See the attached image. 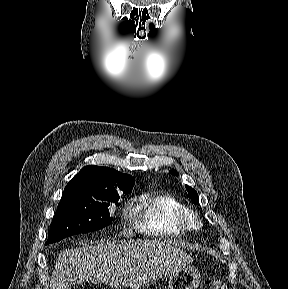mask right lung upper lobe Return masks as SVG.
Returning a JSON list of instances; mask_svg holds the SVG:
<instances>
[{"label":"right lung upper lobe","mask_w":288,"mask_h":289,"mask_svg":"<svg viewBox=\"0 0 288 289\" xmlns=\"http://www.w3.org/2000/svg\"><path fill=\"white\" fill-rule=\"evenodd\" d=\"M134 179L108 167L89 165L81 169L66 185L65 194L95 195L105 191L132 190Z\"/></svg>","instance_id":"obj_1"}]
</instances>
